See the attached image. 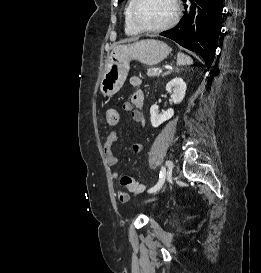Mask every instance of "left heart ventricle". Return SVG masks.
Returning a JSON list of instances; mask_svg holds the SVG:
<instances>
[{
  "instance_id": "obj_1",
  "label": "left heart ventricle",
  "mask_w": 261,
  "mask_h": 273,
  "mask_svg": "<svg viewBox=\"0 0 261 273\" xmlns=\"http://www.w3.org/2000/svg\"><path fill=\"white\" fill-rule=\"evenodd\" d=\"M173 12L171 0H139L134 18L142 27H157L167 23Z\"/></svg>"
}]
</instances>
